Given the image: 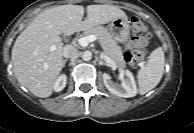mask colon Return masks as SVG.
Masks as SVG:
<instances>
[{
  "mask_svg": "<svg viewBox=\"0 0 194 133\" xmlns=\"http://www.w3.org/2000/svg\"><path fill=\"white\" fill-rule=\"evenodd\" d=\"M131 24L134 33L143 37L148 36L149 32L143 20L138 17H133L131 20ZM144 57L145 54L143 55L137 52L135 47H133V49L126 52L125 54V60L132 66H137L143 60Z\"/></svg>",
  "mask_w": 194,
  "mask_h": 133,
  "instance_id": "obj_1",
  "label": "colon"
}]
</instances>
